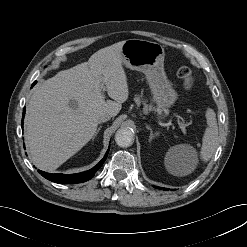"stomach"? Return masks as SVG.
Listing matches in <instances>:
<instances>
[{
    "mask_svg": "<svg viewBox=\"0 0 247 247\" xmlns=\"http://www.w3.org/2000/svg\"><path fill=\"white\" fill-rule=\"evenodd\" d=\"M122 63L146 76L157 112H168L178 94L164 72V48L156 42L142 39H128L121 49Z\"/></svg>",
    "mask_w": 247,
    "mask_h": 247,
    "instance_id": "0dacf381",
    "label": "stomach"
}]
</instances>
